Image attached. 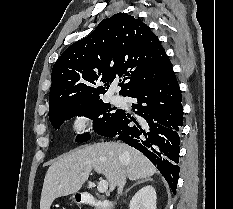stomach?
I'll return each mask as SVG.
<instances>
[{"label":"stomach","instance_id":"obj_1","mask_svg":"<svg viewBox=\"0 0 233 209\" xmlns=\"http://www.w3.org/2000/svg\"><path fill=\"white\" fill-rule=\"evenodd\" d=\"M71 199H72L73 201L76 202V201H77V200H76V195L74 194V195L71 197Z\"/></svg>","mask_w":233,"mask_h":209}]
</instances>
